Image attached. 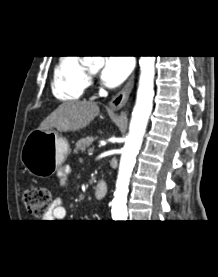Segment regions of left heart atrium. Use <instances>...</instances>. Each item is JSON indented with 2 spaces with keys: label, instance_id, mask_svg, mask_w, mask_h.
<instances>
[{
  "label": "left heart atrium",
  "instance_id": "left-heart-atrium-1",
  "mask_svg": "<svg viewBox=\"0 0 218 277\" xmlns=\"http://www.w3.org/2000/svg\"><path fill=\"white\" fill-rule=\"evenodd\" d=\"M132 69V62L128 57H106L101 80L108 87H116L122 83Z\"/></svg>",
  "mask_w": 218,
  "mask_h": 277
}]
</instances>
